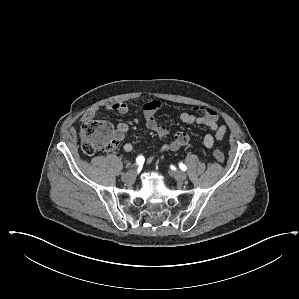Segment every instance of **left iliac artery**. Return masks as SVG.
<instances>
[{
	"label": "left iliac artery",
	"mask_w": 299,
	"mask_h": 299,
	"mask_svg": "<svg viewBox=\"0 0 299 299\" xmlns=\"http://www.w3.org/2000/svg\"><path fill=\"white\" fill-rule=\"evenodd\" d=\"M179 167H180V169H181L182 171H186V170H187L186 165H184L183 163H180V164H179Z\"/></svg>",
	"instance_id": "left-iliac-artery-1"
}]
</instances>
